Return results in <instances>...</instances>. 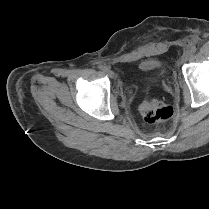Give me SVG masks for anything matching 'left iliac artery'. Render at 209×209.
<instances>
[{
    "label": "left iliac artery",
    "mask_w": 209,
    "mask_h": 209,
    "mask_svg": "<svg viewBox=\"0 0 209 209\" xmlns=\"http://www.w3.org/2000/svg\"><path fill=\"white\" fill-rule=\"evenodd\" d=\"M196 50H197V48H196L195 45H192V46L190 47V52H191V53H195Z\"/></svg>",
    "instance_id": "1"
}]
</instances>
